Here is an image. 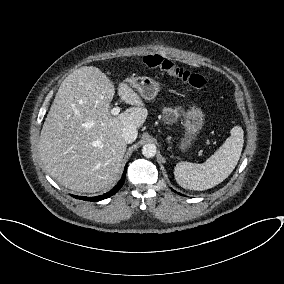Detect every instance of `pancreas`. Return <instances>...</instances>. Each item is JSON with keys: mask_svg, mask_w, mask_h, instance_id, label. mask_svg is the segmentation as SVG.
I'll return each mask as SVG.
<instances>
[{"mask_svg": "<svg viewBox=\"0 0 284 284\" xmlns=\"http://www.w3.org/2000/svg\"><path fill=\"white\" fill-rule=\"evenodd\" d=\"M169 114H172V116H173L172 119H168ZM178 115H179V108H176L175 110L167 108V109L164 110L165 121L169 124L174 123L176 121Z\"/></svg>", "mask_w": 284, "mask_h": 284, "instance_id": "obj_1", "label": "pancreas"}]
</instances>
